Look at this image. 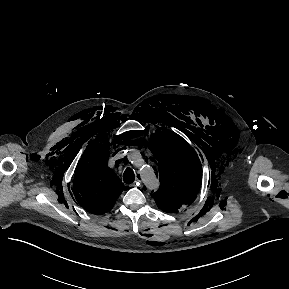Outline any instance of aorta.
<instances>
[{
  "label": "aorta",
  "instance_id": "obj_1",
  "mask_svg": "<svg viewBox=\"0 0 289 289\" xmlns=\"http://www.w3.org/2000/svg\"><path fill=\"white\" fill-rule=\"evenodd\" d=\"M141 157L135 154L132 157V162L138 167L139 174L143 183L149 188L154 189L158 186V180L152 167L140 164Z\"/></svg>",
  "mask_w": 289,
  "mask_h": 289
}]
</instances>
